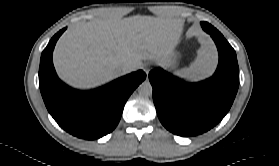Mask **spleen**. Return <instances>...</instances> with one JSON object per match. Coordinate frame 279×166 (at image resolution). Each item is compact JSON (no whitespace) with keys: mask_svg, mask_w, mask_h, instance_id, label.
<instances>
[{"mask_svg":"<svg viewBox=\"0 0 279 166\" xmlns=\"http://www.w3.org/2000/svg\"><path fill=\"white\" fill-rule=\"evenodd\" d=\"M217 61L218 55L214 44L210 40H202L195 61L188 68L178 71V75L190 80L210 76L217 66Z\"/></svg>","mask_w":279,"mask_h":166,"instance_id":"obj_1","label":"spleen"}]
</instances>
